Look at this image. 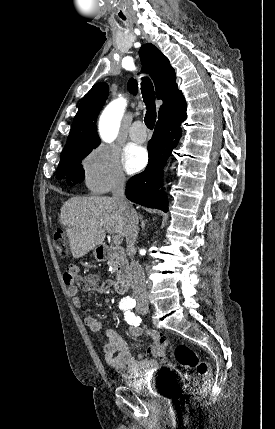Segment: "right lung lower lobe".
Returning a JSON list of instances; mask_svg holds the SVG:
<instances>
[{"label":"right lung lower lobe","instance_id":"1","mask_svg":"<svg viewBox=\"0 0 275 429\" xmlns=\"http://www.w3.org/2000/svg\"><path fill=\"white\" fill-rule=\"evenodd\" d=\"M186 119V108L167 120L157 122L152 139L149 141V162L146 169L129 179L126 197L143 206L168 211V200L163 190V169L167 158L177 146L181 137V123Z\"/></svg>","mask_w":275,"mask_h":429}]
</instances>
